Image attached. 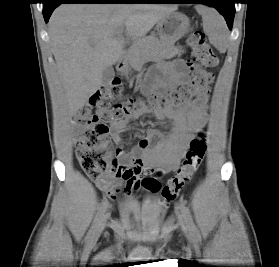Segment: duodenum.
<instances>
[{
	"label": "duodenum",
	"mask_w": 279,
	"mask_h": 267,
	"mask_svg": "<svg viewBox=\"0 0 279 267\" xmlns=\"http://www.w3.org/2000/svg\"><path fill=\"white\" fill-rule=\"evenodd\" d=\"M129 65L128 60L125 56L121 57L117 63V69L121 73H126L128 71Z\"/></svg>",
	"instance_id": "410a0bca"
}]
</instances>
